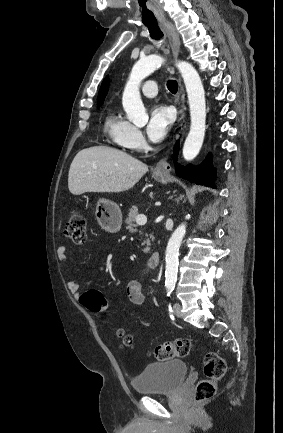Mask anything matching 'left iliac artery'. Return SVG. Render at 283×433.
Here are the masks:
<instances>
[{"label":"left iliac artery","instance_id":"44dca946","mask_svg":"<svg viewBox=\"0 0 283 433\" xmlns=\"http://www.w3.org/2000/svg\"><path fill=\"white\" fill-rule=\"evenodd\" d=\"M169 311H170V313L173 312L171 304H169ZM170 317H171L172 320H174V316L172 314L170 315Z\"/></svg>","mask_w":283,"mask_h":433}]
</instances>
